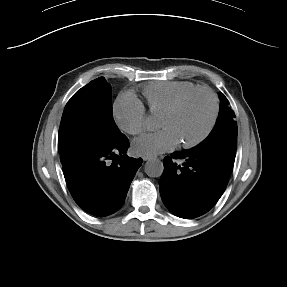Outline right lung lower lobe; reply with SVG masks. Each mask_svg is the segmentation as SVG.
Returning <instances> with one entry per match:
<instances>
[{
    "mask_svg": "<svg viewBox=\"0 0 287 287\" xmlns=\"http://www.w3.org/2000/svg\"><path fill=\"white\" fill-rule=\"evenodd\" d=\"M128 139L105 149L83 154L63 165L68 189L75 202L95 216L116 212L124 203L142 159L126 155Z\"/></svg>",
    "mask_w": 287,
    "mask_h": 287,
    "instance_id": "obj_1",
    "label": "right lung lower lobe"
}]
</instances>
